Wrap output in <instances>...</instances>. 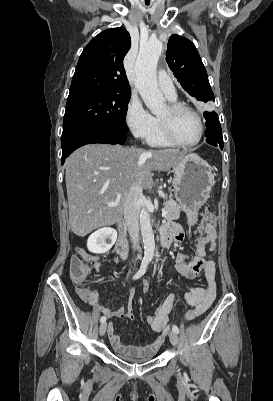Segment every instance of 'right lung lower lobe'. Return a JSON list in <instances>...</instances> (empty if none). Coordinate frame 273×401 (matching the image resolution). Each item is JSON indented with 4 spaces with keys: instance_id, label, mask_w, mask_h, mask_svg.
Masks as SVG:
<instances>
[{
    "instance_id": "98d812e1",
    "label": "right lung lower lobe",
    "mask_w": 273,
    "mask_h": 401,
    "mask_svg": "<svg viewBox=\"0 0 273 401\" xmlns=\"http://www.w3.org/2000/svg\"><path fill=\"white\" fill-rule=\"evenodd\" d=\"M127 133L103 130L91 126H72L63 130L61 137L62 159H65L77 148L92 143L123 144Z\"/></svg>"
}]
</instances>
